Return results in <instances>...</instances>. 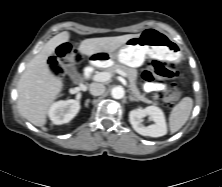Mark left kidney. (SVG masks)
<instances>
[{
	"label": "left kidney",
	"instance_id": "obj_1",
	"mask_svg": "<svg viewBox=\"0 0 222 187\" xmlns=\"http://www.w3.org/2000/svg\"><path fill=\"white\" fill-rule=\"evenodd\" d=\"M146 116H149L154 124L145 126L143 118ZM129 121L133 129L143 136L161 137L167 134L165 115L159 107L148 106L144 109H134L129 113Z\"/></svg>",
	"mask_w": 222,
	"mask_h": 187
}]
</instances>
